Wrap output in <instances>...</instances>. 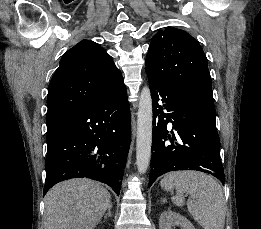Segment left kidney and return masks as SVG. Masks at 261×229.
<instances>
[{
  "mask_svg": "<svg viewBox=\"0 0 261 229\" xmlns=\"http://www.w3.org/2000/svg\"><path fill=\"white\" fill-rule=\"evenodd\" d=\"M181 227V229H195L190 221H187L185 217L179 215V213H173V211H164L160 215L159 229H172V227Z\"/></svg>",
  "mask_w": 261,
  "mask_h": 229,
  "instance_id": "1",
  "label": "left kidney"
}]
</instances>
